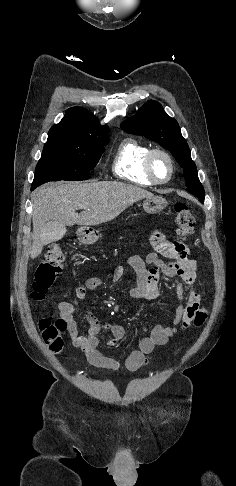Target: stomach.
Segmentation results:
<instances>
[{
    "label": "stomach",
    "mask_w": 236,
    "mask_h": 486,
    "mask_svg": "<svg viewBox=\"0 0 236 486\" xmlns=\"http://www.w3.org/2000/svg\"><path fill=\"white\" fill-rule=\"evenodd\" d=\"M167 206V201L159 196L146 198L143 201V209L149 214H155L162 211ZM78 240L84 245L93 244L98 240L96 231L90 228H82L77 231Z\"/></svg>",
    "instance_id": "obj_1"
}]
</instances>
